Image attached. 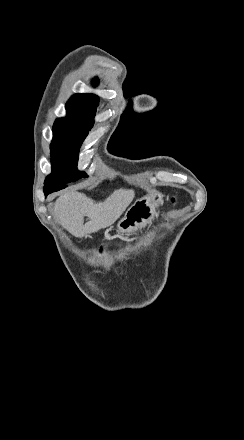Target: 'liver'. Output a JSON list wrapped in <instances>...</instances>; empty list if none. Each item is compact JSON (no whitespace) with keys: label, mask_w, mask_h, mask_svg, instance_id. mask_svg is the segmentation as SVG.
<instances>
[{"label":"liver","mask_w":244,"mask_h":440,"mask_svg":"<svg viewBox=\"0 0 244 440\" xmlns=\"http://www.w3.org/2000/svg\"><path fill=\"white\" fill-rule=\"evenodd\" d=\"M135 196L134 190H116L105 202H94L80 192H66L54 204V214L65 230L76 238H84L102 228L112 226ZM84 216L89 222L84 224Z\"/></svg>","instance_id":"1"}]
</instances>
